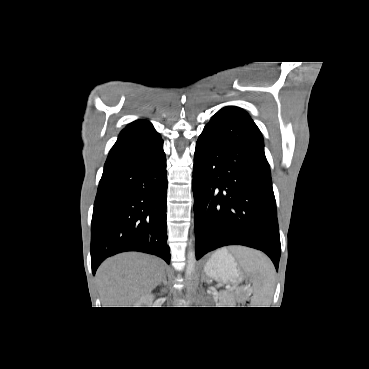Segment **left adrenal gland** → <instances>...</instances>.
Masks as SVG:
<instances>
[{
  "label": "left adrenal gland",
  "instance_id": "obj_1",
  "mask_svg": "<svg viewBox=\"0 0 369 369\" xmlns=\"http://www.w3.org/2000/svg\"><path fill=\"white\" fill-rule=\"evenodd\" d=\"M201 281H202V282H206L207 284H210L209 279L205 276V274H204V273H202Z\"/></svg>",
  "mask_w": 369,
  "mask_h": 369
}]
</instances>
